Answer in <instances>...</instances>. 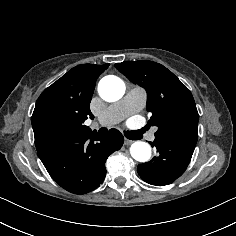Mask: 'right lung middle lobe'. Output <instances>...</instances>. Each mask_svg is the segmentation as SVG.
Returning a JSON list of instances; mask_svg holds the SVG:
<instances>
[{
	"label": "right lung middle lobe",
	"mask_w": 236,
	"mask_h": 236,
	"mask_svg": "<svg viewBox=\"0 0 236 236\" xmlns=\"http://www.w3.org/2000/svg\"><path fill=\"white\" fill-rule=\"evenodd\" d=\"M84 126H56L50 131L52 140L79 135L84 131Z\"/></svg>",
	"instance_id": "1"
}]
</instances>
